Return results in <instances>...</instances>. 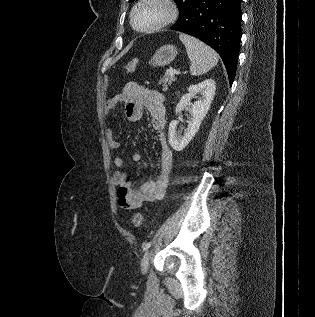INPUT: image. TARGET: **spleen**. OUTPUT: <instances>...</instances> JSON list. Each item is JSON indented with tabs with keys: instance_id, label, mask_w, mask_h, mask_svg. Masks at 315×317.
Returning <instances> with one entry per match:
<instances>
[{
	"instance_id": "1",
	"label": "spleen",
	"mask_w": 315,
	"mask_h": 317,
	"mask_svg": "<svg viewBox=\"0 0 315 317\" xmlns=\"http://www.w3.org/2000/svg\"><path fill=\"white\" fill-rule=\"evenodd\" d=\"M179 39L186 47L191 75H203L218 63L217 53L199 39L184 33L179 35Z\"/></svg>"
}]
</instances>
